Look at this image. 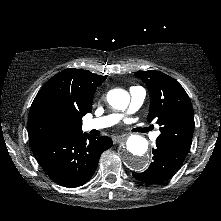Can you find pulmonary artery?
Here are the masks:
<instances>
[{"label":"pulmonary artery","instance_id":"1","mask_svg":"<svg viewBox=\"0 0 221 221\" xmlns=\"http://www.w3.org/2000/svg\"><path fill=\"white\" fill-rule=\"evenodd\" d=\"M145 95H146V92L142 87L136 86V87L130 88L131 99H130V105L127 111L129 114L137 111L141 107L145 99ZM122 118H123V114H110V115L103 116L100 118L88 120L84 123V129L85 130L103 129V128L116 124ZM153 137L156 138L157 134H154Z\"/></svg>","mask_w":221,"mask_h":221}]
</instances>
